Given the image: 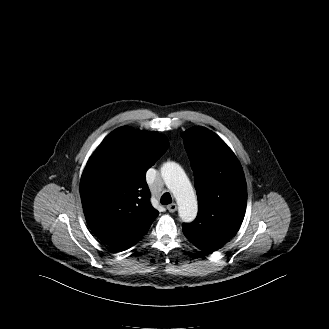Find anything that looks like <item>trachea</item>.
I'll use <instances>...</instances> for the list:
<instances>
[{"label": "trachea", "instance_id": "3493384b", "mask_svg": "<svg viewBox=\"0 0 329 329\" xmlns=\"http://www.w3.org/2000/svg\"><path fill=\"white\" fill-rule=\"evenodd\" d=\"M160 202L163 205H168V204L172 203L171 195L168 192L164 193L160 199Z\"/></svg>", "mask_w": 329, "mask_h": 329}]
</instances>
